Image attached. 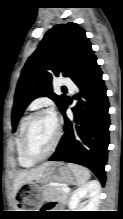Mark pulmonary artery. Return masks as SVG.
Masks as SVG:
<instances>
[{"mask_svg":"<svg viewBox=\"0 0 123 219\" xmlns=\"http://www.w3.org/2000/svg\"><path fill=\"white\" fill-rule=\"evenodd\" d=\"M61 85L68 88L71 92H74V90H75V84L73 83L72 80H70L68 78H63L61 80Z\"/></svg>","mask_w":123,"mask_h":219,"instance_id":"obj_1","label":"pulmonary artery"}]
</instances>
